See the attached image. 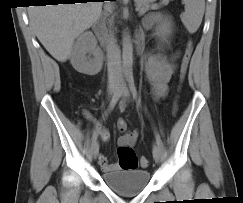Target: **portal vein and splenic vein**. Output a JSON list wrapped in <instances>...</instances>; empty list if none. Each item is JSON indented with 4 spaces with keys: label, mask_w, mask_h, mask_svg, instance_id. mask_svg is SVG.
<instances>
[{
    "label": "portal vein and splenic vein",
    "mask_w": 243,
    "mask_h": 203,
    "mask_svg": "<svg viewBox=\"0 0 243 203\" xmlns=\"http://www.w3.org/2000/svg\"><path fill=\"white\" fill-rule=\"evenodd\" d=\"M137 11H139L140 15L144 14L139 8H137Z\"/></svg>",
    "instance_id": "obj_1"
}]
</instances>
